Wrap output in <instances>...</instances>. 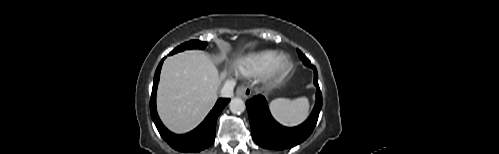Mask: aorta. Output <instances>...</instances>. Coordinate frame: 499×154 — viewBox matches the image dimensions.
Wrapping results in <instances>:
<instances>
[{"instance_id":"1","label":"aorta","mask_w":499,"mask_h":154,"mask_svg":"<svg viewBox=\"0 0 499 154\" xmlns=\"http://www.w3.org/2000/svg\"><path fill=\"white\" fill-rule=\"evenodd\" d=\"M229 108L233 114H240V113L244 112L246 106H245V103L242 99L233 98L229 103Z\"/></svg>"}]
</instances>
